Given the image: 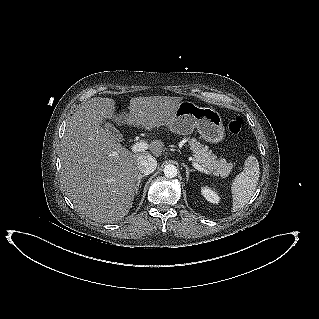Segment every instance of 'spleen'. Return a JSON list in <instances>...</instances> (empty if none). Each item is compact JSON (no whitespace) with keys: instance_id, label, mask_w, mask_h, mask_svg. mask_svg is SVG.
Here are the masks:
<instances>
[{"instance_id":"3e777b00","label":"spleen","mask_w":319,"mask_h":319,"mask_svg":"<svg viewBox=\"0 0 319 319\" xmlns=\"http://www.w3.org/2000/svg\"><path fill=\"white\" fill-rule=\"evenodd\" d=\"M244 165L243 172L237 175L232 182V212L240 210L249 202L258 185L260 168L256 157L249 156Z\"/></svg>"}]
</instances>
